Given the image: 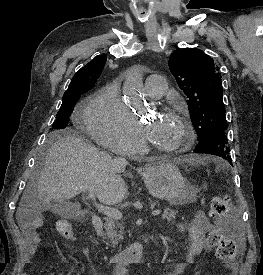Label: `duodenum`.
<instances>
[{
    "mask_svg": "<svg viewBox=\"0 0 263 275\" xmlns=\"http://www.w3.org/2000/svg\"><path fill=\"white\" fill-rule=\"evenodd\" d=\"M92 225L95 231L99 233L103 227L102 218L98 215H93ZM142 254L143 245L140 242H135L122 252L112 255L109 262L113 264L116 269L123 270L126 265L138 263L141 260Z\"/></svg>",
    "mask_w": 263,
    "mask_h": 275,
    "instance_id": "obj_1",
    "label": "duodenum"
}]
</instances>
